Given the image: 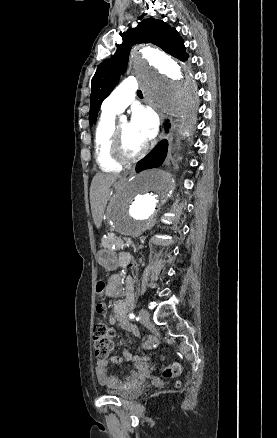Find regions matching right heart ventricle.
Returning a JSON list of instances; mask_svg holds the SVG:
<instances>
[{
  "mask_svg": "<svg viewBox=\"0 0 277 438\" xmlns=\"http://www.w3.org/2000/svg\"><path fill=\"white\" fill-rule=\"evenodd\" d=\"M115 116L102 114L95 135V154L100 168L106 172L118 173L122 165L116 162L110 152V135L114 127Z\"/></svg>",
  "mask_w": 277,
  "mask_h": 438,
  "instance_id": "e07e8e85",
  "label": "right heart ventricle"
}]
</instances>
